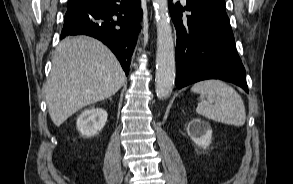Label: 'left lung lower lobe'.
<instances>
[{
  "label": "left lung lower lobe",
  "instance_id": "0a47b994",
  "mask_svg": "<svg viewBox=\"0 0 293 184\" xmlns=\"http://www.w3.org/2000/svg\"><path fill=\"white\" fill-rule=\"evenodd\" d=\"M169 0L177 34L176 87L205 79H221L248 93L246 73L235 47L224 0ZM188 11V15L183 14Z\"/></svg>",
  "mask_w": 293,
  "mask_h": 184
}]
</instances>
